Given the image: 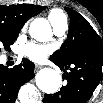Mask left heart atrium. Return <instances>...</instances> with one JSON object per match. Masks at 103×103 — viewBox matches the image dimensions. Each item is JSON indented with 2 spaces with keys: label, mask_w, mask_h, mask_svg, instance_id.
I'll list each match as a JSON object with an SVG mask.
<instances>
[{
  "label": "left heart atrium",
  "mask_w": 103,
  "mask_h": 103,
  "mask_svg": "<svg viewBox=\"0 0 103 103\" xmlns=\"http://www.w3.org/2000/svg\"><path fill=\"white\" fill-rule=\"evenodd\" d=\"M50 51L49 46L37 43H29L22 48L23 55L34 62L43 61Z\"/></svg>",
  "instance_id": "obj_1"
}]
</instances>
